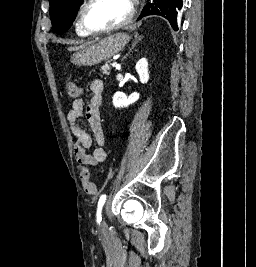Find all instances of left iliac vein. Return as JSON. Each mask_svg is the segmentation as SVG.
<instances>
[{"label": "left iliac vein", "instance_id": "obj_1", "mask_svg": "<svg viewBox=\"0 0 256 267\" xmlns=\"http://www.w3.org/2000/svg\"><path fill=\"white\" fill-rule=\"evenodd\" d=\"M106 227V223H105V221L103 220L102 222H101V224H100V228L101 229H104Z\"/></svg>", "mask_w": 256, "mask_h": 267}]
</instances>
